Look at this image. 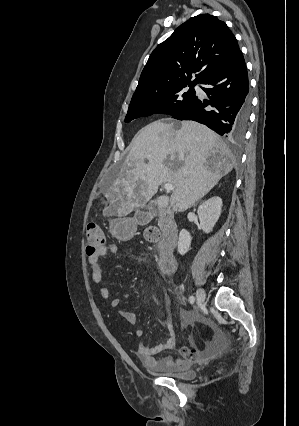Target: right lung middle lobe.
<instances>
[{
    "label": "right lung middle lobe",
    "instance_id": "1",
    "mask_svg": "<svg viewBox=\"0 0 299 426\" xmlns=\"http://www.w3.org/2000/svg\"><path fill=\"white\" fill-rule=\"evenodd\" d=\"M195 84L171 86L141 99L131 101L125 122L154 113L174 114L186 106L195 96ZM187 86L190 89L187 90Z\"/></svg>",
    "mask_w": 299,
    "mask_h": 426
}]
</instances>
